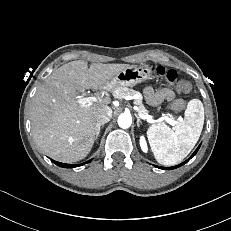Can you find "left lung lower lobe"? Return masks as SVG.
<instances>
[{"label":"left lung lower lobe","instance_id":"0a47b994","mask_svg":"<svg viewBox=\"0 0 231 231\" xmlns=\"http://www.w3.org/2000/svg\"><path fill=\"white\" fill-rule=\"evenodd\" d=\"M199 147H200V145H199ZM199 147L195 150V152L191 155V157L188 160H186L185 162H183L177 166H174V167H158V168L164 169V170H171V169H175V168L182 166L183 164H185L187 161H189L197 153Z\"/></svg>","mask_w":231,"mask_h":231}]
</instances>
